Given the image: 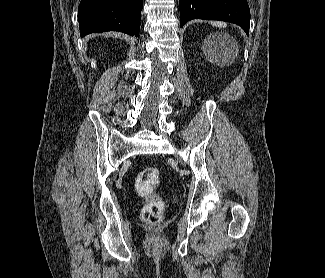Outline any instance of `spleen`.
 Listing matches in <instances>:
<instances>
[{"mask_svg": "<svg viewBox=\"0 0 325 278\" xmlns=\"http://www.w3.org/2000/svg\"><path fill=\"white\" fill-rule=\"evenodd\" d=\"M212 25L216 26V27H225L226 24L223 22H218V21H214L212 22Z\"/></svg>", "mask_w": 325, "mask_h": 278, "instance_id": "1", "label": "spleen"}]
</instances>
